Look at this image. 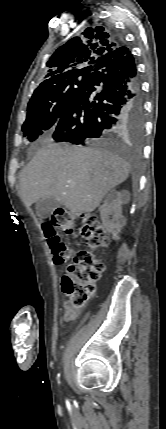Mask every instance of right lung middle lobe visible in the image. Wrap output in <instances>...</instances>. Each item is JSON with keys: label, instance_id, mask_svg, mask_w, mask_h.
<instances>
[{"label": "right lung middle lobe", "instance_id": "right-lung-middle-lobe-1", "mask_svg": "<svg viewBox=\"0 0 166 429\" xmlns=\"http://www.w3.org/2000/svg\"><path fill=\"white\" fill-rule=\"evenodd\" d=\"M88 74L76 75L57 82L46 91L33 94L27 106V118L22 126L23 136L34 141L55 125L67 108L74 94L88 81ZM142 130L131 133L139 140Z\"/></svg>", "mask_w": 166, "mask_h": 429}]
</instances>
